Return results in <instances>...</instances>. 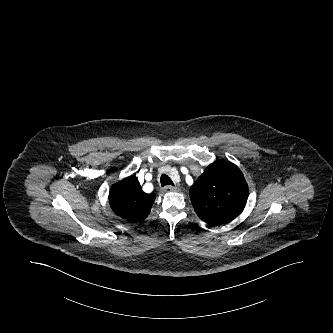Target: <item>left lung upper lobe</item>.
Masks as SVG:
<instances>
[{
	"mask_svg": "<svg viewBox=\"0 0 333 333\" xmlns=\"http://www.w3.org/2000/svg\"><path fill=\"white\" fill-rule=\"evenodd\" d=\"M248 185L240 169L225 160L210 164L190 188L195 212L209 225H223L244 209Z\"/></svg>",
	"mask_w": 333,
	"mask_h": 333,
	"instance_id": "1",
	"label": "left lung upper lobe"
}]
</instances>
